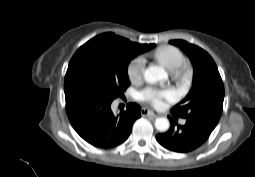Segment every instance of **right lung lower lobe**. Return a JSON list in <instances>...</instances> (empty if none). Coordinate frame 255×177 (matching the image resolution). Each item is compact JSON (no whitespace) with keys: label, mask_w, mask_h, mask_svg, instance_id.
<instances>
[{"label":"right lung lower lobe","mask_w":255,"mask_h":177,"mask_svg":"<svg viewBox=\"0 0 255 177\" xmlns=\"http://www.w3.org/2000/svg\"><path fill=\"white\" fill-rule=\"evenodd\" d=\"M66 111L75 131L89 144L109 149L122 144L130 135L132 125L141 117V107L130 103L127 110L114 114L112 99L85 90L65 93Z\"/></svg>","instance_id":"right-lung-lower-lobe-1"}]
</instances>
